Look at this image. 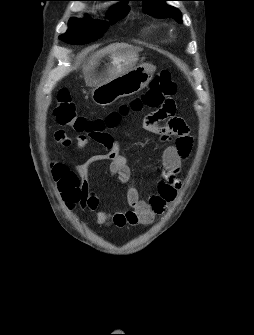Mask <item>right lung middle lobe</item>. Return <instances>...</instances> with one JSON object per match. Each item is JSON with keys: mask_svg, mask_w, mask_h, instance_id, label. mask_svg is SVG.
<instances>
[{"mask_svg": "<svg viewBox=\"0 0 254 335\" xmlns=\"http://www.w3.org/2000/svg\"><path fill=\"white\" fill-rule=\"evenodd\" d=\"M129 12V6H115L110 9L107 17L110 22L92 21L90 18L79 20L72 18L69 21V29L60 39L72 44H83L102 37L110 24L124 18Z\"/></svg>", "mask_w": 254, "mask_h": 335, "instance_id": "dd1d6c3e", "label": "right lung middle lobe"}]
</instances>
